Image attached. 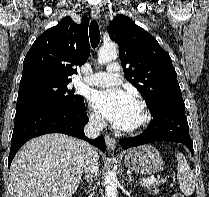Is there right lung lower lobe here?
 <instances>
[{
	"mask_svg": "<svg viewBox=\"0 0 209 197\" xmlns=\"http://www.w3.org/2000/svg\"><path fill=\"white\" fill-rule=\"evenodd\" d=\"M88 122L84 101L69 105H45L28 108L15 114V123L11 139L8 166L28 140L47 133H64L91 142L105 152L103 136L90 140L84 135V126Z\"/></svg>",
	"mask_w": 209,
	"mask_h": 197,
	"instance_id": "right-lung-lower-lobe-1",
	"label": "right lung lower lobe"
}]
</instances>
